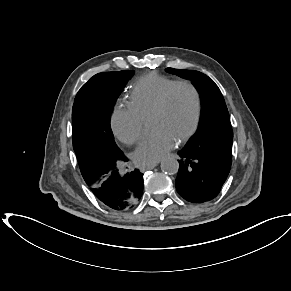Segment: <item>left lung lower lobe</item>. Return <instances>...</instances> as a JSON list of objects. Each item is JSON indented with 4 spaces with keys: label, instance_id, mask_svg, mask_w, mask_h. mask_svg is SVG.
Instances as JSON below:
<instances>
[{
    "label": "left lung lower lobe",
    "instance_id": "left-lung-lower-lobe-1",
    "mask_svg": "<svg viewBox=\"0 0 291 291\" xmlns=\"http://www.w3.org/2000/svg\"><path fill=\"white\" fill-rule=\"evenodd\" d=\"M178 154L181 157L175 184L178 194L191 203L214 199L227 179L232 161L184 148Z\"/></svg>",
    "mask_w": 291,
    "mask_h": 291
}]
</instances>
